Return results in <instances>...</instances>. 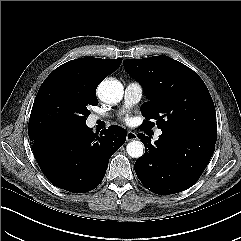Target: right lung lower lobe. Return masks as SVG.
<instances>
[{
    "mask_svg": "<svg viewBox=\"0 0 241 241\" xmlns=\"http://www.w3.org/2000/svg\"><path fill=\"white\" fill-rule=\"evenodd\" d=\"M29 138L49 181L66 191L84 193L102 182L110 157L126 141V130L111 125L98 135L85 125Z\"/></svg>",
    "mask_w": 241,
    "mask_h": 241,
    "instance_id": "right-lung-lower-lobe-1",
    "label": "right lung lower lobe"
}]
</instances>
